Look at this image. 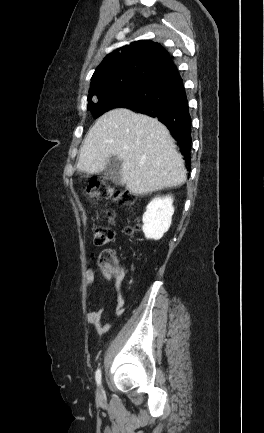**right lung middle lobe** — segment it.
I'll list each match as a JSON object with an SVG mask.
<instances>
[{
	"label": "right lung middle lobe",
	"instance_id": "dd1d6c3e",
	"mask_svg": "<svg viewBox=\"0 0 264 433\" xmlns=\"http://www.w3.org/2000/svg\"><path fill=\"white\" fill-rule=\"evenodd\" d=\"M141 85L142 84L125 87L105 96L98 97L97 101L88 99L87 108L95 118H98L113 108L125 107V105L138 93Z\"/></svg>",
	"mask_w": 264,
	"mask_h": 433
}]
</instances>
